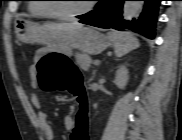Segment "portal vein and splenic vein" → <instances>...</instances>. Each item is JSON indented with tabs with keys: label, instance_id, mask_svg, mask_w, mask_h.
<instances>
[{
	"label": "portal vein and splenic vein",
	"instance_id": "18ae733b",
	"mask_svg": "<svg viewBox=\"0 0 182 140\" xmlns=\"http://www.w3.org/2000/svg\"><path fill=\"white\" fill-rule=\"evenodd\" d=\"M99 63H100L99 60H95V61H94V64H95V65H98Z\"/></svg>",
	"mask_w": 182,
	"mask_h": 140
}]
</instances>
